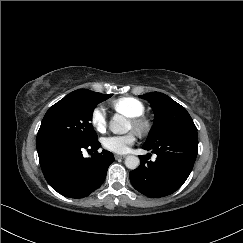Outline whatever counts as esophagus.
Here are the masks:
<instances>
[{
	"label": "esophagus",
	"mask_w": 243,
	"mask_h": 243,
	"mask_svg": "<svg viewBox=\"0 0 243 243\" xmlns=\"http://www.w3.org/2000/svg\"><path fill=\"white\" fill-rule=\"evenodd\" d=\"M114 158H115V159H123V158H125V156H124V155H118V154H115V155H114Z\"/></svg>",
	"instance_id": "34e87169"
}]
</instances>
